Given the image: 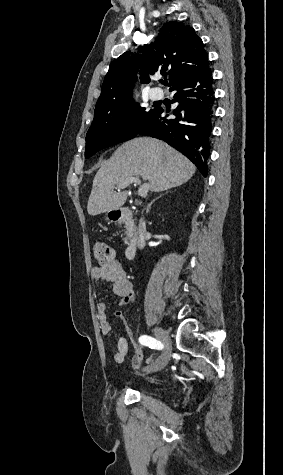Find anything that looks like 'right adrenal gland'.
<instances>
[{
  "instance_id": "obj_1",
  "label": "right adrenal gland",
  "mask_w": 283,
  "mask_h": 475,
  "mask_svg": "<svg viewBox=\"0 0 283 475\" xmlns=\"http://www.w3.org/2000/svg\"><path fill=\"white\" fill-rule=\"evenodd\" d=\"M166 194H168V192H166ZM162 196H164V194H162ZM159 198H161V196H159ZM159 198H156V200H159ZM156 200H153V202H156ZM153 202H151V204H149L148 208H151Z\"/></svg>"
}]
</instances>
